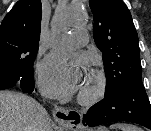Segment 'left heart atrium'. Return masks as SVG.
Returning a JSON list of instances; mask_svg holds the SVG:
<instances>
[{"instance_id":"1","label":"left heart atrium","mask_w":151,"mask_h":131,"mask_svg":"<svg viewBox=\"0 0 151 131\" xmlns=\"http://www.w3.org/2000/svg\"><path fill=\"white\" fill-rule=\"evenodd\" d=\"M86 80V61L77 54H52L43 62L39 72L41 90L52 98H63L78 92Z\"/></svg>"}]
</instances>
